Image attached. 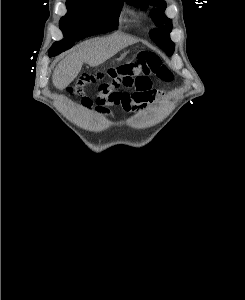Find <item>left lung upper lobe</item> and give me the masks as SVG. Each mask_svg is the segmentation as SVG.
<instances>
[{
	"instance_id": "5c2ea615",
	"label": "left lung upper lobe",
	"mask_w": 245,
	"mask_h": 300,
	"mask_svg": "<svg viewBox=\"0 0 245 300\" xmlns=\"http://www.w3.org/2000/svg\"><path fill=\"white\" fill-rule=\"evenodd\" d=\"M128 4L135 7H141L142 10L152 7L150 16L158 28L150 31L151 39L162 48L168 55L174 51V43L170 39L172 31V21L164 15L166 3L163 0H126Z\"/></svg>"
}]
</instances>
